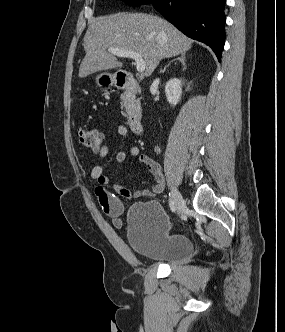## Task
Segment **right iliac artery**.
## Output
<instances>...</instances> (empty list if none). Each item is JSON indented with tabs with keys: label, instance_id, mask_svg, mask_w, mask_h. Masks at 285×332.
<instances>
[{
	"label": "right iliac artery",
	"instance_id": "1",
	"mask_svg": "<svg viewBox=\"0 0 285 332\" xmlns=\"http://www.w3.org/2000/svg\"><path fill=\"white\" fill-rule=\"evenodd\" d=\"M169 206H170L171 211L175 212V210H176L175 204L171 198L169 199Z\"/></svg>",
	"mask_w": 285,
	"mask_h": 332
}]
</instances>
